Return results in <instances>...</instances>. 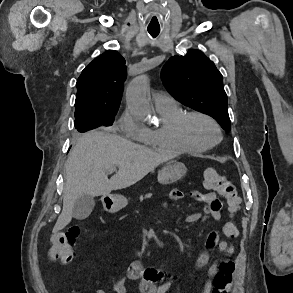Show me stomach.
I'll return each instance as SVG.
<instances>
[{"instance_id":"obj_1","label":"stomach","mask_w":293,"mask_h":293,"mask_svg":"<svg viewBox=\"0 0 293 293\" xmlns=\"http://www.w3.org/2000/svg\"><path fill=\"white\" fill-rule=\"evenodd\" d=\"M187 168L182 162L169 161L158 173V182L168 185L177 182L186 174ZM105 209L111 212L119 211L128 204V200L122 195H108L102 199Z\"/></svg>"}]
</instances>
